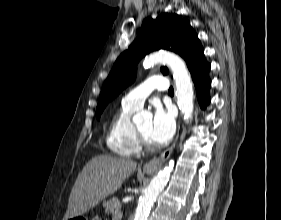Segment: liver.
Segmentation results:
<instances>
[{
	"instance_id": "6515ba94",
	"label": "liver",
	"mask_w": 281,
	"mask_h": 220,
	"mask_svg": "<svg viewBox=\"0 0 281 220\" xmlns=\"http://www.w3.org/2000/svg\"><path fill=\"white\" fill-rule=\"evenodd\" d=\"M131 159L109 155L93 157L78 174L71 190L63 220L81 216L114 194L136 170Z\"/></svg>"
}]
</instances>
